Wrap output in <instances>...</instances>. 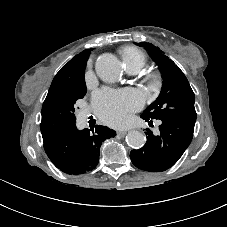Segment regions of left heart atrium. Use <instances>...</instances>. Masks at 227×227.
Masks as SVG:
<instances>
[{
  "label": "left heart atrium",
  "instance_id": "left-heart-atrium-1",
  "mask_svg": "<svg viewBox=\"0 0 227 227\" xmlns=\"http://www.w3.org/2000/svg\"><path fill=\"white\" fill-rule=\"evenodd\" d=\"M93 103L97 115L103 122L112 126H120L127 122L131 112L142 107L144 98L133 90L102 89L94 94Z\"/></svg>",
  "mask_w": 227,
  "mask_h": 227
}]
</instances>
